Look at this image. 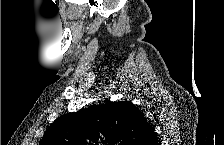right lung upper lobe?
<instances>
[{
	"mask_svg": "<svg viewBox=\"0 0 224 145\" xmlns=\"http://www.w3.org/2000/svg\"><path fill=\"white\" fill-rule=\"evenodd\" d=\"M158 145L144 114L128 101H107L65 114L46 130L40 145Z\"/></svg>",
	"mask_w": 224,
	"mask_h": 145,
	"instance_id": "obj_1",
	"label": "right lung upper lobe"
}]
</instances>
